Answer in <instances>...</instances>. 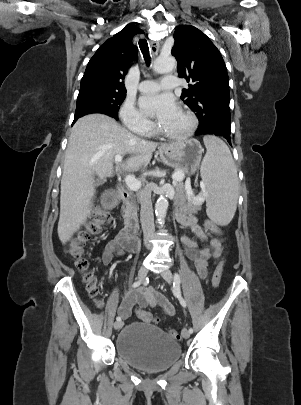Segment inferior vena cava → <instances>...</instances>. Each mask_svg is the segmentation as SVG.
<instances>
[{
    "instance_id": "inferior-vena-cava-1",
    "label": "inferior vena cava",
    "mask_w": 301,
    "mask_h": 405,
    "mask_svg": "<svg viewBox=\"0 0 301 405\" xmlns=\"http://www.w3.org/2000/svg\"><path fill=\"white\" fill-rule=\"evenodd\" d=\"M139 200L141 204L140 219L144 234V241L146 247L150 249L151 244L149 243V240L154 235L155 227H154L153 207L151 201V189L148 186H146L139 193Z\"/></svg>"
}]
</instances>
